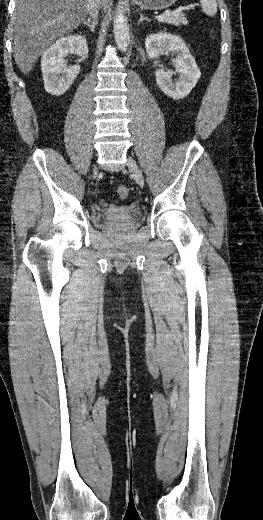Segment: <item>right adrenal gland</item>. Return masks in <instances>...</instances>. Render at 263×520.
<instances>
[{"label":"right adrenal gland","mask_w":263,"mask_h":520,"mask_svg":"<svg viewBox=\"0 0 263 520\" xmlns=\"http://www.w3.org/2000/svg\"><path fill=\"white\" fill-rule=\"evenodd\" d=\"M82 24L90 29V31L93 33L95 31V27L97 25V19L88 18V20H85L82 22Z\"/></svg>","instance_id":"1"}]
</instances>
